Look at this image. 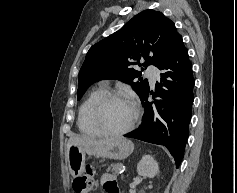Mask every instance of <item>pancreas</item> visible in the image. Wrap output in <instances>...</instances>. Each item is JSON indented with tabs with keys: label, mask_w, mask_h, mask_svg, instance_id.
<instances>
[{
	"label": "pancreas",
	"mask_w": 237,
	"mask_h": 193,
	"mask_svg": "<svg viewBox=\"0 0 237 193\" xmlns=\"http://www.w3.org/2000/svg\"><path fill=\"white\" fill-rule=\"evenodd\" d=\"M123 164L122 163H114L108 166L107 171H111L114 174H119V172L122 170Z\"/></svg>",
	"instance_id": "cf45deb5"
}]
</instances>
